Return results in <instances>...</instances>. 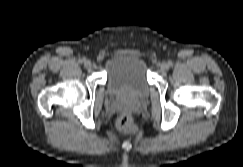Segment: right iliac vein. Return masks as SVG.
<instances>
[{"label":"right iliac vein","instance_id":"63e3f726","mask_svg":"<svg viewBox=\"0 0 243 167\" xmlns=\"http://www.w3.org/2000/svg\"><path fill=\"white\" fill-rule=\"evenodd\" d=\"M84 66L87 68V69H90L92 67V62L90 60H86L84 62Z\"/></svg>","mask_w":243,"mask_h":167}]
</instances>
